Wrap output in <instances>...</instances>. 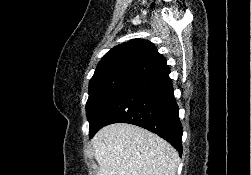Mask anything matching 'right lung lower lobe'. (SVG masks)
I'll use <instances>...</instances> for the list:
<instances>
[{"instance_id": "obj_1", "label": "right lung lower lobe", "mask_w": 251, "mask_h": 175, "mask_svg": "<svg viewBox=\"0 0 251 175\" xmlns=\"http://www.w3.org/2000/svg\"><path fill=\"white\" fill-rule=\"evenodd\" d=\"M170 70L130 85L103 114L97 131L112 123H130L156 133L182 154V125Z\"/></svg>"}]
</instances>
